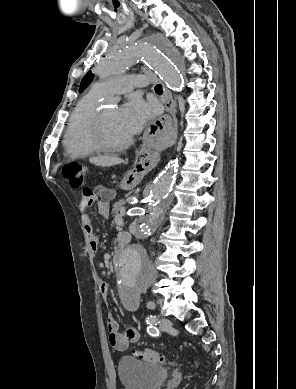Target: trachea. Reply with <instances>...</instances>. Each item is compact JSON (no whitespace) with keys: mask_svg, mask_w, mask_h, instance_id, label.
<instances>
[{"mask_svg":"<svg viewBox=\"0 0 296 389\" xmlns=\"http://www.w3.org/2000/svg\"><path fill=\"white\" fill-rule=\"evenodd\" d=\"M155 92H156L157 94H162V85H161V84H157V85L155 86Z\"/></svg>","mask_w":296,"mask_h":389,"instance_id":"1","label":"trachea"}]
</instances>
